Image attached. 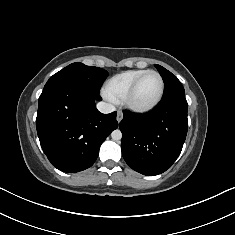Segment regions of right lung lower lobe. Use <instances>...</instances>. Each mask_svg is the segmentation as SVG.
<instances>
[{
	"label": "right lung lower lobe",
	"mask_w": 235,
	"mask_h": 235,
	"mask_svg": "<svg viewBox=\"0 0 235 235\" xmlns=\"http://www.w3.org/2000/svg\"><path fill=\"white\" fill-rule=\"evenodd\" d=\"M95 93L73 85L43 90L38 101L36 128L51 164L63 172H79L93 165L99 148L118 127L116 112L100 113Z\"/></svg>",
	"instance_id": "obj_1"
}]
</instances>
